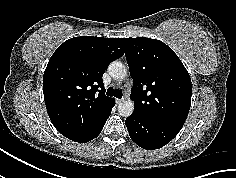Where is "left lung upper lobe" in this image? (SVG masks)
I'll return each instance as SVG.
<instances>
[{
  "instance_id": "5c2ea615",
  "label": "left lung upper lobe",
  "mask_w": 236,
  "mask_h": 178,
  "mask_svg": "<svg viewBox=\"0 0 236 178\" xmlns=\"http://www.w3.org/2000/svg\"><path fill=\"white\" fill-rule=\"evenodd\" d=\"M133 79L134 112L182 127L191 104L192 85L181 60L165 43L123 38Z\"/></svg>"
}]
</instances>
